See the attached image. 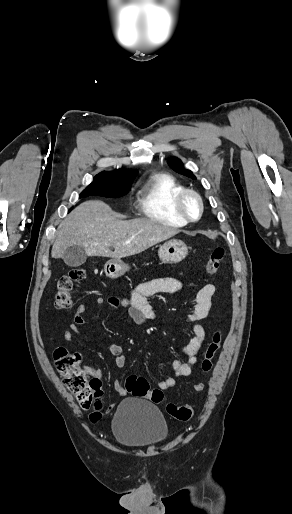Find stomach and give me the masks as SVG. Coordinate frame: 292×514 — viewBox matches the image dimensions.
I'll list each match as a JSON object with an SVG mask.
<instances>
[{"mask_svg": "<svg viewBox=\"0 0 292 514\" xmlns=\"http://www.w3.org/2000/svg\"><path fill=\"white\" fill-rule=\"evenodd\" d=\"M187 254L188 250L186 244L181 242V240H169V242H165L158 252V256L163 264H178V262H182V260L186 258ZM128 270L129 266L124 264L120 258L109 260L104 266V272L107 278H119V276H123Z\"/></svg>", "mask_w": 292, "mask_h": 514, "instance_id": "stomach-1", "label": "stomach"}]
</instances>
